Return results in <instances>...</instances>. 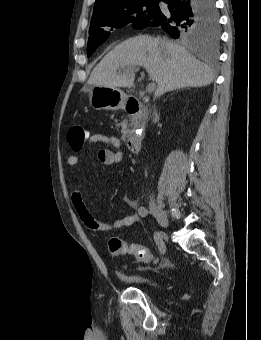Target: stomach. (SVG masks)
Segmentation results:
<instances>
[{
  "label": "stomach",
  "instance_id": "0dacf381",
  "mask_svg": "<svg viewBox=\"0 0 261 340\" xmlns=\"http://www.w3.org/2000/svg\"><path fill=\"white\" fill-rule=\"evenodd\" d=\"M89 105L94 110H118L126 101L127 95L119 88L107 86H89Z\"/></svg>",
  "mask_w": 261,
  "mask_h": 340
}]
</instances>
